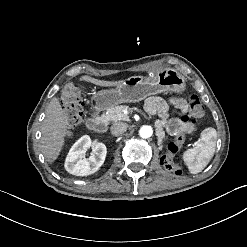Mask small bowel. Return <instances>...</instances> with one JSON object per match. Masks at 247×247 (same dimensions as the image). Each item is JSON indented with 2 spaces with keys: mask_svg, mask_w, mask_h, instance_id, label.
<instances>
[{
  "mask_svg": "<svg viewBox=\"0 0 247 247\" xmlns=\"http://www.w3.org/2000/svg\"><path fill=\"white\" fill-rule=\"evenodd\" d=\"M169 105H173L176 107L180 114H186L188 111V104L187 102L182 98H170L165 99L163 97L159 96H152L146 99L145 101V108L151 115H158L161 118H167L168 117V108ZM177 124L180 126L179 120H173L169 124V130L171 132L176 133V130L172 129V125ZM193 129V127H184L183 130L190 132Z\"/></svg>",
  "mask_w": 247,
  "mask_h": 247,
  "instance_id": "c3829d8e",
  "label": "small bowel"
}]
</instances>
